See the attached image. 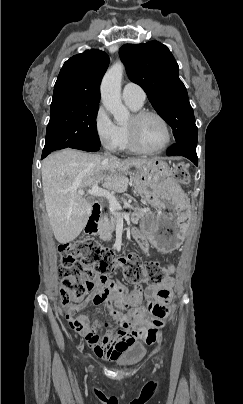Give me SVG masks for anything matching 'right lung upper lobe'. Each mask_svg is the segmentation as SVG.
Instances as JSON below:
<instances>
[{
    "label": "right lung upper lobe",
    "mask_w": 243,
    "mask_h": 404,
    "mask_svg": "<svg viewBox=\"0 0 243 404\" xmlns=\"http://www.w3.org/2000/svg\"><path fill=\"white\" fill-rule=\"evenodd\" d=\"M108 65V55L96 49L71 57L59 73L51 107L62 104H99L100 82Z\"/></svg>",
    "instance_id": "right-lung-upper-lobe-1"
}]
</instances>
